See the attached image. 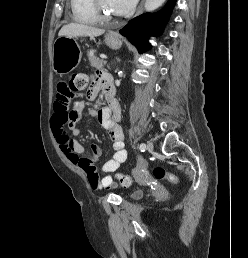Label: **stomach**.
<instances>
[{
	"mask_svg": "<svg viewBox=\"0 0 248 258\" xmlns=\"http://www.w3.org/2000/svg\"><path fill=\"white\" fill-rule=\"evenodd\" d=\"M106 44L112 49H119L122 45L120 37L115 33L106 35ZM82 58V52L76 39L70 36L58 37L52 50L53 70L60 74H68L73 71Z\"/></svg>",
	"mask_w": 248,
	"mask_h": 258,
	"instance_id": "stomach-1",
	"label": "stomach"
}]
</instances>
